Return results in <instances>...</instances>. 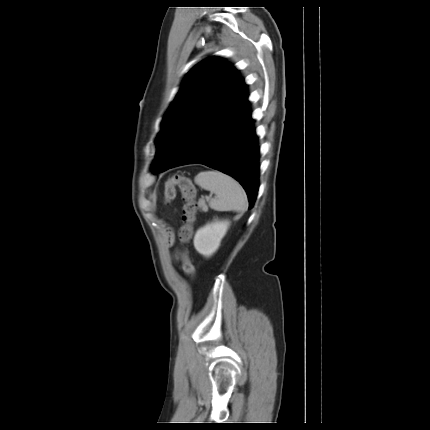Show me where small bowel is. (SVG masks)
Returning a JSON list of instances; mask_svg holds the SVG:
<instances>
[{
	"mask_svg": "<svg viewBox=\"0 0 430 430\" xmlns=\"http://www.w3.org/2000/svg\"><path fill=\"white\" fill-rule=\"evenodd\" d=\"M165 242L168 247H172L175 243V235L172 229L168 228L165 233ZM172 259L177 260V254L172 256Z\"/></svg>",
	"mask_w": 430,
	"mask_h": 430,
	"instance_id": "obj_1",
	"label": "small bowel"
}]
</instances>
